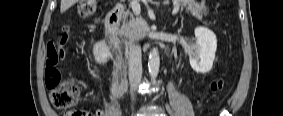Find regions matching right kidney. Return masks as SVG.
Returning <instances> with one entry per match:
<instances>
[{
	"label": "right kidney",
	"instance_id": "ca27d5eb",
	"mask_svg": "<svg viewBox=\"0 0 283 116\" xmlns=\"http://www.w3.org/2000/svg\"><path fill=\"white\" fill-rule=\"evenodd\" d=\"M93 55L98 64H105L112 57L110 48L105 41L97 42L93 47Z\"/></svg>",
	"mask_w": 283,
	"mask_h": 116
}]
</instances>
